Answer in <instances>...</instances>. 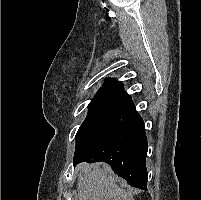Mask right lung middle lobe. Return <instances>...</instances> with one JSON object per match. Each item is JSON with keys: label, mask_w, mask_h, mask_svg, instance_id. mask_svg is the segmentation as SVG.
<instances>
[{"label": "right lung middle lobe", "mask_w": 201, "mask_h": 200, "mask_svg": "<svg viewBox=\"0 0 201 200\" xmlns=\"http://www.w3.org/2000/svg\"><path fill=\"white\" fill-rule=\"evenodd\" d=\"M130 102H132V100L128 97H123L112 93L98 92L88 105V115L80 126L76 137H78L89 127L93 126L115 111L123 108Z\"/></svg>", "instance_id": "right-lung-middle-lobe-1"}]
</instances>
